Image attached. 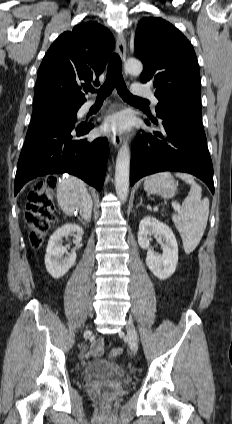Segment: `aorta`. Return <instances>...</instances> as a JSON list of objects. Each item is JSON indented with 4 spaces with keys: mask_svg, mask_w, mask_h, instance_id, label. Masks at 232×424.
Listing matches in <instances>:
<instances>
[{
    "mask_svg": "<svg viewBox=\"0 0 232 424\" xmlns=\"http://www.w3.org/2000/svg\"><path fill=\"white\" fill-rule=\"evenodd\" d=\"M125 69L132 75H140L143 65L136 59H128L125 63ZM129 167H130V149L125 142L118 151L115 167V189L117 196L121 201H126L129 194Z\"/></svg>",
    "mask_w": 232,
    "mask_h": 424,
    "instance_id": "obj_1",
    "label": "aorta"
}]
</instances>
